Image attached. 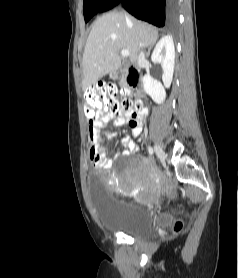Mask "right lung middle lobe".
I'll use <instances>...</instances> for the list:
<instances>
[{"instance_id": "1", "label": "right lung middle lobe", "mask_w": 238, "mask_h": 278, "mask_svg": "<svg viewBox=\"0 0 238 278\" xmlns=\"http://www.w3.org/2000/svg\"><path fill=\"white\" fill-rule=\"evenodd\" d=\"M105 0H85L83 5V13L85 22H88L97 12L101 4Z\"/></svg>"}]
</instances>
